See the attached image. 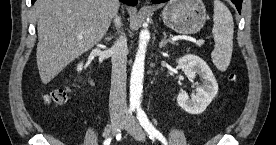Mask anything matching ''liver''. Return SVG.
Masks as SVG:
<instances>
[{
    "label": "liver",
    "mask_w": 276,
    "mask_h": 145,
    "mask_svg": "<svg viewBox=\"0 0 276 145\" xmlns=\"http://www.w3.org/2000/svg\"><path fill=\"white\" fill-rule=\"evenodd\" d=\"M117 0H37V66L43 84L106 34Z\"/></svg>",
    "instance_id": "1"
}]
</instances>
